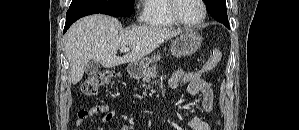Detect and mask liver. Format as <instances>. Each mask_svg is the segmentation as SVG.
Listing matches in <instances>:
<instances>
[{
  "label": "liver",
  "instance_id": "liver-1",
  "mask_svg": "<svg viewBox=\"0 0 299 130\" xmlns=\"http://www.w3.org/2000/svg\"><path fill=\"white\" fill-rule=\"evenodd\" d=\"M181 32L150 26L122 30L121 23L113 17L102 14L83 17L64 36L71 81L73 84L80 82L90 60L99 62L105 68L135 62ZM124 46L131 48V52L117 56V51Z\"/></svg>",
  "mask_w": 299,
  "mask_h": 130
}]
</instances>
